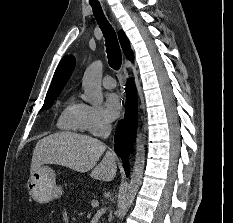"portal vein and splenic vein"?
Returning <instances> with one entry per match:
<instances>
[{
	"label": "portal vein and splenic vein",
	"instance_id": "portal-vein-and-splenic-vein-1",
	"mask_svg": "<svg viewBox=\"0 0 233 223\" xmlns=\"http://www.w3.org/2000/svg\"><path fill=\"white\" fill-rule=\"evenodd\" d=\"M100 201H97V202H94V201H91V205H99Z\"/></svg>",
	"mask_w": 233,
	"mask_h": 223
}]
</instances>
